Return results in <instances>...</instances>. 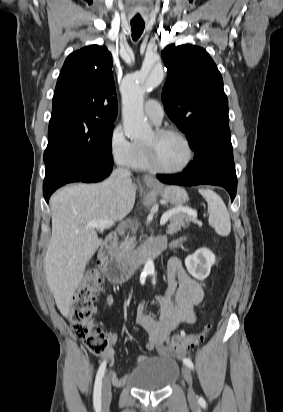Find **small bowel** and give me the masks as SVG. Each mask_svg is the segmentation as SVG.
Here are the masks:
<instances>
[{"instance_id":"obj_1","label":"small bowel","mask_w":283,"mask_h":412,"mask_svg":"<svg viewBox=\"0 0 283 412\" xmlns=\"http://www.w3.org/2000/svg\"><path fill=\"white\" fill-rule=\"evenodd\" d=\"M203 297L201 285L188 274L181 260L171 258L166 268L162 292L156 299L158 316L155 318L148 313L146 302H141L136 310V322L148 334L146 349L155 351L162 357L181 356L179 352L167 349L164 342L173 330L195 321V308L202 302ZM103 299V305L92 308L93 314L101 313L104 307L112 305L115 300L109 293L103 294ZM117 341L118 336L111 334L110 346L104 354L111 366L114 363V346ZM147 359L145 355L139 356L136 363L141 364ZM111 377L116 385L125 384V375L117 376L111 371Z\"/></svg>"}]
</instances>
